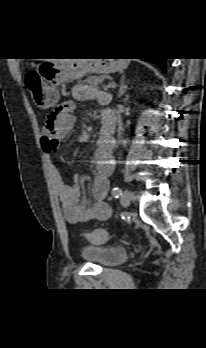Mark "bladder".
Returning <instances> with one entry per match:
<instances>
[{
	"instance_id": "31cf9c89",
	"label": "bladder",
	"mask_w": 206,
	"mask_h": 348,
	"mask_svg": "<svg viewBox=\"0 0 206 348\" xmlns=\"http://www.w3.org/2000/svg\"><path fill=\"white\" fill-rule=\"evenodd\" d=\"M81 256L88 262L101 266H115L130 258V252L123 246L86 245Z\"/></svg>"
}]
</instances>
